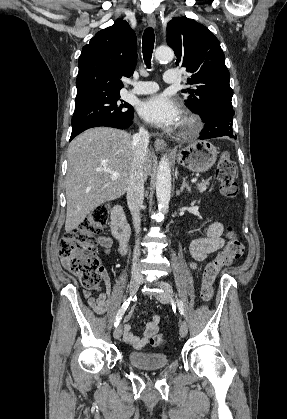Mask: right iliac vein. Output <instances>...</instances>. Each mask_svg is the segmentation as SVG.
Masks as SVG:
<instances>
[{
	"instance_id": "obj_1",
	"label": "right iliac vein",
	"mask_w": 287,
	"mask_h": 419,
	"mask_svg": "<svg viewBox=\"0 0 287 419\" xmlns=\"http://www.w3.org/2000/svg\"><path fill=\"white\" fill-rule=\"evenodd\" d=\"M141 282H142V279L140 277H137V276L131 277L130 283H129L130 294L134 295L137 292ZM122 332H123V329H122V325L120 324L114 330V338L119 339L122 335Z\"/></svg>"
}]
</instances>
